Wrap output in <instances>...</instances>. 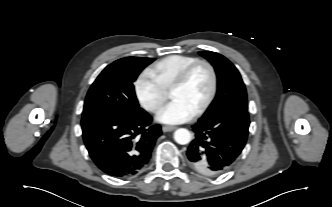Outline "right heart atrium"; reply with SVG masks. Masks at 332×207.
Here are the masks:
<instances>
[{
  "instance_id": "right-heart-atrium-1",
  "label": "right heart atrium",
  "mask_w": 332,
  "mask_h": 207,
  "mask_svg": "<svg viewBox=\"0 0 332 207\" xmlns=\"http://www.w3.org/2000/svg\"><path fill=\"white\" fill-rule=\"evenodd\" d=\"M135 92L143 108L150 113H157L166 99V91L147 73L137 78Z\"/></svg>"
}]
</instances>
